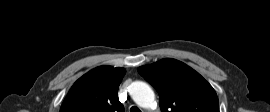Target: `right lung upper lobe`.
Returning <instances> with one entry per match:
<instances>
[{
	"label": "right lung upper lobe",
	"mask_w": 270,
	"mask_h": 112,
	"mask_svg": "<svg viewBox=\"0 0 270 112\" xmlns=\"http://www.w3.org/2000/svg\"><path fill=\"white\" fill-rule=\"evenodd\" d=\"M125 72L100 66L84 74L68 92L60 112H124L117 93Z\"/></svg>",
	"instance_id": "right-lung-upper-lobe-1"
}]
</instances>
